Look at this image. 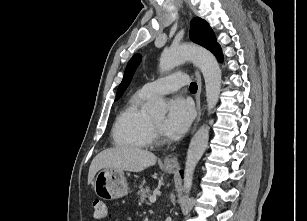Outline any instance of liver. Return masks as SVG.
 Wrapping results in <instances>:
<instances>
[{"label":"liver","mask_w":307,"mask_h":221,"mask_svg":"<svg viewBox=\"0 0 307 221\" xmlns=\"http://www.w3.org/2000/svg\"><path fill=\"white\" fill-rule=\"evenodd\" d=\"M157 157L147 150L135 147H115L100 152L91 162L88 173V184H91L96 173L101 169L141 172L155 165Z\"/></svg>","instance_id":"6515ba94"}]
</instances>
